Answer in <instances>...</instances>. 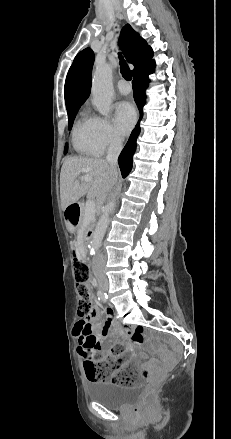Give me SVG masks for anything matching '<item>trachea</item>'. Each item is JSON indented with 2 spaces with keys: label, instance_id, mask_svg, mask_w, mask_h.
<instances>
[{
  "label": "trachea",
  "instance_id": "3493384b",
  "mask_svg": "<svg viewBox=\"0 0 231 439\" xmlns=\"http://www.w3.org/2000/svg\"><path fill=\"white\" fill-rule=\"evenodd\" d=\"M119 58H120L121 74L126 80L130 81L132 79L130 68L128 67L127 63L125 62V60L121 55H119Z\"/></svg>",
  "mask_w": 231,
  "mask_h": 439
}]
</instances>
